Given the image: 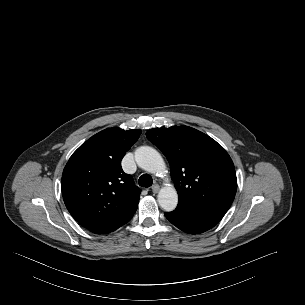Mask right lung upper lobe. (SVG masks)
Here are the masks:
<instances>
[{"mask_svg": "<svg viewBox=\"0 0 305 305\" xmlns=\"http://www.w3.org/2000/svg\"><path fill=\"white\" fill-rule=\"evenodd\" d=\"M141 130H103L70 157L62 174L64 203L74 219L89 231L109 233L127 223L137 210L140 190L121 160Z\"/></svg>", "mask_w": 305, "mask_h": 305, "instance_id": "right-lung-upper-lobe-1", "label": "right lung upper lobe"}]
</instances>
